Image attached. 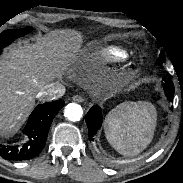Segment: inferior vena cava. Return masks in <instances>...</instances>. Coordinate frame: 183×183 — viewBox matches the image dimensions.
<instances>
[{
    "label": "inferior vena cava",
    "instance_id": "602c4592",
    "mask_svg": "<svg viewBox=\"0 0 183 183\" xmlns=\"http://www.w3.org/2000/svg\"><path fill=\"white\" fill-rule=\"evenodd\" d=\"M65 86L61 83H50L41 88L37 97L43 101H50L60 98L65 93Z\"/></svg>",
    "mask_w": 183,
    "mask_h": 183
}]
</instances>
